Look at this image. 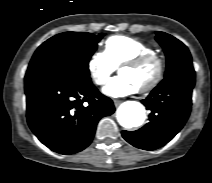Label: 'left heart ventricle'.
I'll use <instances>...</instances> for the list:
<instances>
[{
	"instance_id": "left-heart-ventricle-1",
	"label": "left heart ventricle",
	"mask_w": 212,
	"mask_h": 183,
	"mask_svg": "<svg viewBox=\"0 0 212 183\" xmlns=\"http://www.w3.org/2000/svg\"><path fill=\"white\" fill-rule=\"evenodd\" d=\"M157 72V65L154 62L145 64L138 68H124L119 71L120 76L127 78L138 89L146 86L152 81Z\"/></svg>"
}]
</instances>
